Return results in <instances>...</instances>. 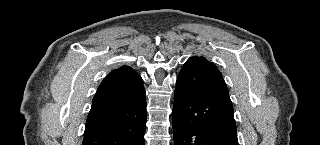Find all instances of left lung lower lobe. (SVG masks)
Segmentation results:
<instances>
[{"label": "left lung lower lobe", "mask_w": 320, "mask_h": 145, "mask_svg": "<svg viewBox=\"0 0 320 145\" xmlns=\"http://www.w3.org/2000/svg\"><path fill=\"white\" fill-rule=\"evenodd\" d=\"M174 145H238L233 105L218 68L189 58L174 93Z\"/></svg>", "instance_id": "left-lung-lower-lobe-1"}]
</instances>
